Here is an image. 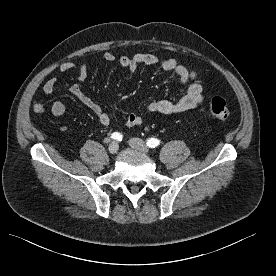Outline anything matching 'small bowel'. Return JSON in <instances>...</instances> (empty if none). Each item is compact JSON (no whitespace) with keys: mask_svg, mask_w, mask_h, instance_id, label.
Here are the masks:
<instances>
[{"mask_svg":"<svg viewBox=\"0 0 276 276\" xmlns=\"http://www.w3.org/2000/svg\"><path fill=\"white\" fill-rule=\"evenodd\" d=\"M104 61L111 63L116 60V56L111 52H105L103 55ZM120 66L126 68L131 74H135L140 65L159 66L162 70L175 74L180 83L187 86L186 94L176 102L167 100L151 102L147 111L149 113H159L163 115H172L179 112H184L196 107L203 100V87L197 73L183 65L178 64L174 59L161 60L158 56L148 53H138L133 56H121L118 59ZM60 71L66 72L72 69L77 70L78 81L85 82L88 79V68L85 63L75 64L72 62H64L59 67ZM57 82V76L49 77L43 84V92L52 94ZM69 92L89 110H91L98 121L103 125H109L112 118L104 112L100 105L92 100L81 88L78 83L72 84L69 87ZM36 112H43L45 105L39 101H34L32 104ZM51 112L56 117H62L66 112L65 104L61 101H56L51 106ZM143 122L142 115L138 113H130L125 124L127 127H135Z\"/></svg>","mask_w":276,"mask_h":276,"instance_id":"c3829d8e","label":"small bowel"}]
</instances>
